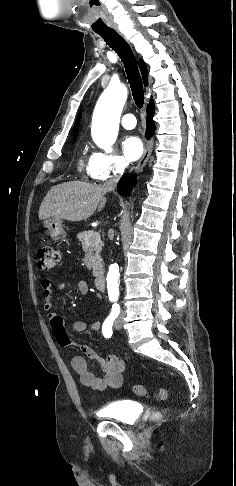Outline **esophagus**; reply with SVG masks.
Instances as JSON below:
<instances>
[{
	"label": "esophagus",
	"instance_id": "obj_1",
	"mask_svg": "<svg viewBox=\"0 0 236 486\" xmlns=\"http://www.w3.org/2000/svg\"><path fill=\"white\" fill-rule=\"evenodd\" d=\"M114 29L119 33L120 31L118 30L117 27H114ZM152 146H153V142L152 140H149L147 143H146V146H145V150H144V153H143V156L141 157V159L139 160L138 164L136 165L135 169H134V172H139L143 169V167L146 165V163L148 162L149 160V157L151 155V152H152Z\"/></svg>",
	"mask_w": 236,
	"mask_h": 486
}]
</instances>
